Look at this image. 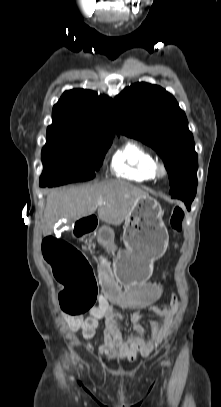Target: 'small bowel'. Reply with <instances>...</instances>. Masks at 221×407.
<instances>
[{"label": "small bowel", "mask_w": 221, "mask_h": 407, "mask_svg": "<svg viewBox=\"0 0 221 407\" xmlns=\"http://www.w3.org/2000/svg\"><path fill=\"white\" fill-rule=\"evenodd\" d=\"M178 306V298L173 295L168 307L154 309L158 319H148L150 334L141 324L143 311H137L129 320H125L103 294L99 295L97 305L90 310L88 317L68 316L67 322L73 331H81L85 339H91L96 333L98 321L105 319L106 327L103 344L99 348L100 353L108 357L133 360L138 355H148L157 344L165 339ZM123 324H127L134 332L126 338L122 336L120 330Z\"/></svg>", "instance_id": "1"}]
</instances>
